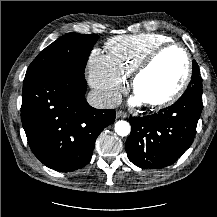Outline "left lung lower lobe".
I'll return each mask as SVG.
<instances>
[{"label": "left lung lower lobe", "instance_id": "1", "mask_svg": "<svg viewBox=\"0 0 217 217\" xmlns=\"http://www.w3.org/2000/svg\"><path fill=\"white\" fill-rule=\"evenodd\" d=\"M202 111V94L185 91L173 105L157 114L130 117L125 143L129 160L141 168L173 164L190 147Z\"/></svg>", "mask_w": 217, "mask_h": 217}]
</instances>
